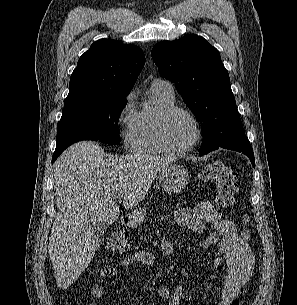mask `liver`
<instances>
[{
    "label": "liver",
    "instance_id": "1",
    "mask_svg": "<svg viewBox=\"0 0 297 305\" xmlns=\"http://www.w3.org/2000/svg\"><path fill=\"white\" fill-rule=\"evenodd\" d=\"M107 157L91 141L78 142L54 163L57 215L48 252L59 288L67 289L88 267L101 240L93 235L97 222L112 224L120 214L114 195L125 209L146 196L158 173L174 160L142 154Z\"/></svg>",
    "mask_w": 297,
    "mask_h": 305
}]
</instances>
